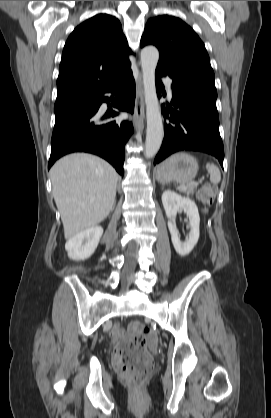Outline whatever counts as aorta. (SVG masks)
<instances>
[{"mask_svg": "<svg viewBox=\"0 0 271 418\" xmlns=\"http://www.w3.org/2000/svg\"><path fill=\"white\" fill-rule=\"evenodd\" d=\"M159 52L154 46H147L141 51V67L146 104V142L145 156L152 158L159 151L163 140V121L161 117L155 85V70Z\"/></svg>", "mask_w": 271, "mask_h": 418, "instance_id": "762f6f07", "label": "aorta"}]
</instances>
